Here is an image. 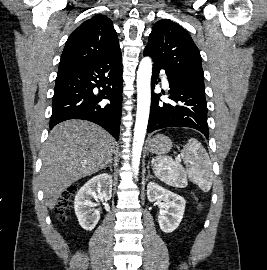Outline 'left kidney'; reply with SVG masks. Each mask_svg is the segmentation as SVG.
I'll use <instances>...</instances> for the list:
<instances>
[{"mask_svg": "<svg viewBox=\"0 0 267 270\" xmlns=\"http://www.w3.org/2000/svg\"><path fill=\"white\" fill-rule=\"evenodd\" d=\"M147 197L150 202L164 201L165 209L158 216L159 226L165 233L173 232L183 218L186 204L185 199L155 182L148 183Z\"/></svg>", "mask_w": 267, "mask_h": 270, "instance_id": "obj_1", "label": "left kidney"}]
</instances>
